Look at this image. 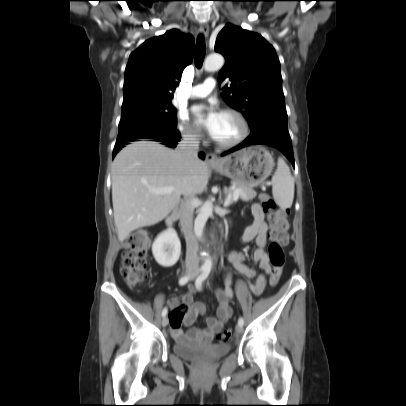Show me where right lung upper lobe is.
Here are the masks:
<instances>
[{"instance_id":"right-lung-upper-lobe-1","label":"right lung upper lobe","mask_w":406,"mask_h":406,"mask_svg":"<svg viewBox=\"0 0 406 406\" xmlns=\"http://www.w3.org/2000/svg\"><path fill=\"white\" fill-rule=\"evenodd\" d=\"M194 39L178 29L145 41L131 53L125 69L122 107L171 103L184 68L192 62Z\"/></svg>"}]
</instances>
